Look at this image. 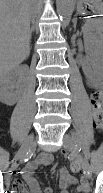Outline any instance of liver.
<instances>
[{
	"label": "liver",
	"mask_w": 103,
	"mask_h": 193,
	"mask_svg": "<svg viewBox=\"0 0 103 193\" xmlns=\"http://www.w3.org/2000/svg\"><path fill=\"white\" fill-rule=\"evenodd\" d=\"M35 0H1L0 71L7 73L30 54V22Z\"/></svg>",
	"instance_id": "obj_1"
}]
</instances>
